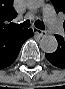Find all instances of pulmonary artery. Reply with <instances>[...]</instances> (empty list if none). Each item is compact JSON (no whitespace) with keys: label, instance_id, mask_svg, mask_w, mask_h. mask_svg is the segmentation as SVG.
<instances>
[{"label":"pulmonary artery","instance_id":"1","mask_svg":"<svg viewBox=\"0 0 65 89\" xmlns=\"http://www.w3.org/2000/svg\"><path fill=\"white\" fill-rule=\"evenodd\" d=\"M43 16L47 22L48 27L55 34L62 33V26L60 21L55 15L54 9L50 5H45L43 7Z\"/></svg>","mask_w":65,"mask_h":89}]
</instances>
